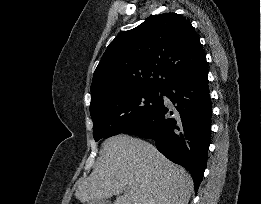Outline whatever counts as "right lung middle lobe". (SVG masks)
Masks as SVG:
<instances>
[{"mask_svg":"<svg viewBox=\"0 0 261 204\" xmlns=\"http://www.w3.org/2000/svg\"><path fill=\"white\" fill-rule=\"evenodd\" d=\"M161 98V90L132 89L113 93L91 106L95 141L122 133L146 116Z\"/></svg>","mask_w":261,"mask_h":204,"instance_id":"obj_1","label":"right lung middle lobe"}]
</instances>
